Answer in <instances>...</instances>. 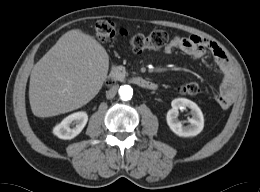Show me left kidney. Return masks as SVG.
I'll list each match as a JSON object with an SVG mask.
<instances>
[{"mask_svg":"<svg viewBox=\"0 0 260 192\" xmlns=\"http://www.w3.org/2000/svg\"><path fill=\"white\" fill-rule=\"evenodd\" d=\"M172 109L167 113V124L176 135L181 137H192L198 135L204 128V117L201 109L196 103L186 98H176L171 102ZM191 109L192 117L188 119L187 126L178 120V110Z\"/></svg>","mask_w":260,"mask_h":192,"instance_id":"left-kidney-1","label":"left kidney"}]
</instances>
